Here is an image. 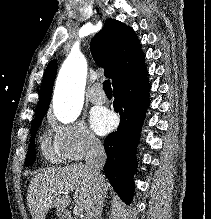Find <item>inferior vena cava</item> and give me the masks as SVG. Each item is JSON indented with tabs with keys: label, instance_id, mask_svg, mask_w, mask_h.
<instances>
[{
	"label": "inferior vena cava",
	"instance_id": "obj_1",
	"mask_svg": "<svg viewBox=\"0 0 211 219\" xmlns=\"http://www.w3.org/2000/svg\"><path fill=\"white\" fill-rule=\"evenodd\" d=\"M88 151L86 153V167L94 182V195L92 202L87 208L85 219H100L101 212L106 196L104 190V177L101 170L106 161V153L101 142L96 138H90L88 141Z\"/></svg>",
	"mask_w": 211,
	"mask_h": 219
}]
</instances>
